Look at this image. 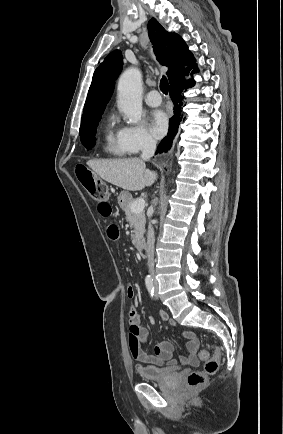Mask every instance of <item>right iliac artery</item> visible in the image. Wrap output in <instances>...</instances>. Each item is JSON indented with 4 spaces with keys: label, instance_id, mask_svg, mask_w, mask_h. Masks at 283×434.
Returning <instances> with one entry per match:
<instances>
[{
    "label": "right iliac artery",
    "instance_id": "1",
    "mask_svg": "<svg viewBox=\"0 0 283 434\" xmlns=\"http://www.w3.org/2000/svg\"><path fill=\"white\" fill-rule=\"evenodd\" d=\"M145 284H146V287H147L150 295L153 297V295H154L153 279L150 276H147L145 278Z\"/></svg>",
    "mask_w": 283,
    "mask_h": 434
}]
</instances>
